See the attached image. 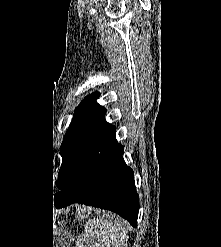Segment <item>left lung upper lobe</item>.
<instances>
[{"instance_id":"left-lung-upper-lobe-1","label":"left lung upper lobe","mask_w":221,"mask_h":247,"mask_svg":"<svg viewBox=\"0 0 221 247\" xmlns=\"http://www.w3.org/2000/svg\"><path fill=\"white\" fill-rule=\"evenodd\" d=\"M97 98L98 93H92L79 104L64 136L60 148L62 165L56 180L60 190L72 182L93 143L111 126L105 120V108L95 102Z\"/></svg>"}]
</instances>
